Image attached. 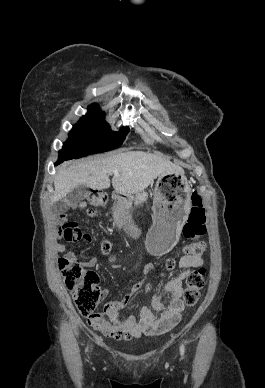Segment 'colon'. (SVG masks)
I'll return each mask as SVG.
<instances>
[{"mask_svg":"<svg viewBox=\"0 0 265 388\" xmlns=\"http://www.w3.org/2000/svg\"><path fill=\"white\" fill-rule=\"evenodd\" d=\"M89 201L93 206H103L107 202V194L102 190H94L89 195ZM192 208L188 219L183 227V235L186 238L195 240L194 243L187 245L184 252L191 256H202L206 251V243L201 238L206 234V214L200 194L194 191L191 194ZM61 220L65 215L62 213L63 207L59 206ZM60 236L69 242L77 241L82 238V233L77 224L73 221H64ZM100 250L103 254L109 255L112 245L104 240L100 244ZM166 269L171 270L175 266V261L170 258L166 261ZM59 268L62 272L65 285L70 291L75 305L80 314L88 319L89 322L100 321L101 315L95 312L100 299L98 288V275L95 271L87 270L76 260L62 257L59 259ZM205 269L199 268L190 272L186 279V287L182 296L184 307H193L200 298L201 290L204 286Z\"/></svg>","mask_w":265,"mask_h":388,"instance_id":"obj_1","label":"colon"}]
</instances>
